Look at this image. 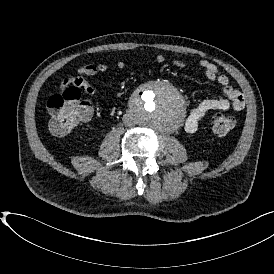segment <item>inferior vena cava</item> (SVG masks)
<instances>
[{
  "label": "inferior vena cava",
  "instance_id": "1",
  "mask_svg": "<svg viewBox=\"0 0 274 274\" xmlns=\"http://www.w3.org/2000/svg\"><path fill=\"white\" fill-rule=\"evenodd\" d=\"M128 121H129V120H128L127 118H124V119H123L124 124H127V125H128V124H129Z\"/></svg>",
  "mask_w": 274,
  "mask_h": 274
}]
</instances>
